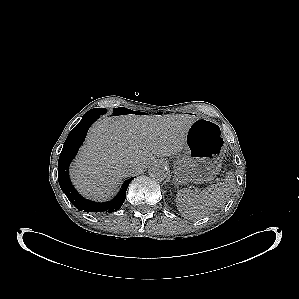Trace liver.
<instances>
[{
  "label": "liver",
  "mask_w": 299,
  "mask_h": 299,
  "mask_svg": "<svg viewBox=\"0 0 299 299\" xmlns=\"http://www.w3.org/2000/svg\"><path fill=\"white\" fill-rule=\"evenodd\" d=\"M197 118L176 115H122L97 121L70 168L76 189L86 198L112 197L123 179L140 173L157 157L180 152Z\"/></svg>",
  "instance_id": "liver-1"
}]
</instances>
